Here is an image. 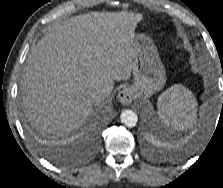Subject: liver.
<instances>
[{
    "instance_id": "liver-1",
    "label": "liver",
    "mask_w": 223,
    "mask_h": 188,
    "mask_svg": "<svg viewBox=\"0 0 223 188\" xmlns=\"http://www.w3.org/2000/svg\"><path fill=\"white\" fill-rule=\"evenodd\" d=\"M141 13L92 12L54 25L31 48L23 69L24 111L39 131L66 136L93 112L90 92L128 79Z\"/></svg>"
}]
</instances>
